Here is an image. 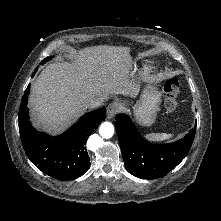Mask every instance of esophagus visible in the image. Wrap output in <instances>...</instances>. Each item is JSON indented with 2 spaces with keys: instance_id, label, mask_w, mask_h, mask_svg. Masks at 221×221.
<instances>
[{
  "instance_id": "obj_1",
  "label": "esophagus",
  "mask_w": 221,
  "mask_h": 221,
  "mask_svg": "<svg viewBox=\"0 0 221 221\" xmlns=\"http://www.w3.org/2000/svg\"><path fill=\"white\" fill-rule=\"evenodd\" d=\"M121 110V105L118 102L111 103L107 108L106 116L112 119Z\"/></svg>"
}]
</instances>
